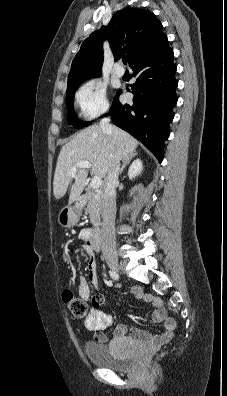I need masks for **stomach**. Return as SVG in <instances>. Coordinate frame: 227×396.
<instances>
[{"label": "stomach", "instance_id": "obj_1", "mask_svg": "<svg viewBox=\"0 0 227 396\" xmlns=\"http://www.w3.org/2000/svg\"><path fill=\"white\" fill-rule=\"evenodd\" d=\"M82 204L77 200L73 206L64 207L58 214V223L64 228H70L79 221Z\"/></svg>", "mask_w": 227, "mask_h": 396}]
</instances>
